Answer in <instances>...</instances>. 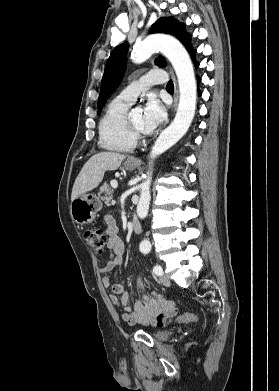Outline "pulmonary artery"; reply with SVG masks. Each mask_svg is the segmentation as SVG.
<instances>
[{"instance_id":"obj_1","label":"pulmonary artery","mask_w":279,"mask_h":391,"mask_svg":"<svg viewBox=\"0 0 279 391\" xmlns=\"http://www.w3.org/2000/svg\"><path fill=\"white\" fill-rule=\"evenodd\" d=\"M166 80L167 75L165 72L161 70L150 71L124 88L119 93V97L133 102L141 92L147 90L151 85L163 83Z\"/></svg>"}]
</instances>
